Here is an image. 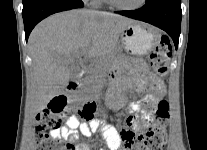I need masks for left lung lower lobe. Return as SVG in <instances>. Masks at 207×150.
I'll return each mask as SVG.
<instances>
[{"label": "left lung lower lobe", "instance_id": "obj_1", "mask_svg": "<svg viewBox=\"0 0 207 150\" xmlns=\"http://www.w3.org/2000/svg\"><path fill=\"white\" fill-rule=\"evenodd\" d=\"M117 13L163 29L171 36L177 49L182 18L181 0H153L138 10Z\"/></svg>", "mask_w": 207, "mask_h": 150}]
</instances>
